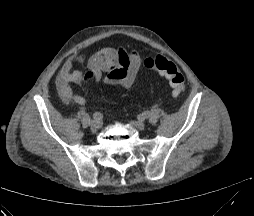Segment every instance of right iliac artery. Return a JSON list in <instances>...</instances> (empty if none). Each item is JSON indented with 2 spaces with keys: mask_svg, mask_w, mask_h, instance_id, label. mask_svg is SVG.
<instances>
[{
  "mask_svg": "<svg viewBox=\"0 0 254 216\" xmlns=\"http://www.w3.org/2000/svg\"><path fill=\"white\" fill-rule=\"evenodd\" d=\"M93 119L96 121V122H101L103 120V115L100 113V112H95L93 114Z\"/></svg>",
  "mask_w": 254,
  "mask_h": 216,
  "instance_id": "1",
  "label": "right iliac artery"
}]
</instances>
